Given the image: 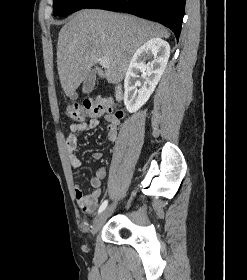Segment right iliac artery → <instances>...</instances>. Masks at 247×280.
<instances>
[{"label": "right iliac artery", "mask_w": 247, "mask_h": 280, "mask_svg": "<svg viewBox=\"0 0 247 280\" xmlns=\"http://www.w3.org/2000/svg\"><path fill=\"white\" fill-rule=\"evenodd\" d=\"M107 204H108V200H105L101 206L99 207V210H98V214H100L101 212H103L105 210V208L107 207Z\"/></svg>", "instance_id": "obj_1"}]
</instances>
